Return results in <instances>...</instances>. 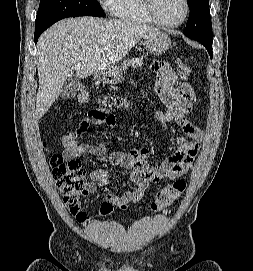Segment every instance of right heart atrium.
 Instances as JSON below:
<instances>
[{"label":"right heart atrium","instance_id":"obj_1","mask_svg":"<svg viewBox=\"0 0 253 271\" xmlns=\"http://www.w3.org/2000/svg\"><path fill=\"white\" fill-rule=\"evenodd\" d=\"M98 1L102 5V7L109 12H113L118 2V0H98Z\"/></svg>","mask_w":253,"mask_h":271}]
</instances>
